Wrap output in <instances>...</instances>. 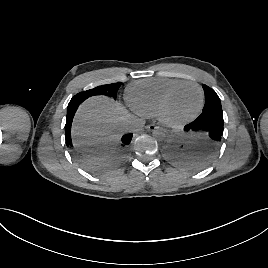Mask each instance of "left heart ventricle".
Listing matches in <instances>:
<instances>
[{
  "mask_svg": "<svg viewBox=\"0 0 268 268\" xmlns=\"http://www.w3.org/2000/svg\"><path fill=\"white\" fill-rule=\"evenodd\" d=\"M199 100L200 94L196 87H183L170 100L166 114L171 119L187 117L195 111Z\"/></svg>",
  "mask_w": 268,
  "mask_h": 268,
  "instance_id": "1",
  "label": "left heart ventricle"
}]
</instances>
